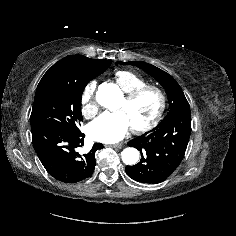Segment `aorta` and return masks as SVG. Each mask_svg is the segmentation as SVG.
<instances>
[{
    "instance_id": "aorta-1",
    "label": "aorta",
    "mask_w": 236,
    "mask_h": 236,
    "mask_svg": "<svg viewBox=\"0 0 236 236\" xmlns=\"http://www.w3.org/2000/svg\"><path fill=\"white\" fill-rule=\"evenodd\" d=\"M122 92L115 84L107 85L104 88L98 89L96 93L97 102L109 110H114L116 103L121 99ZM122 161L126 165H134L139 160V151L135 148H125L122 153Z\"/></svg>"
}]
</instances>
